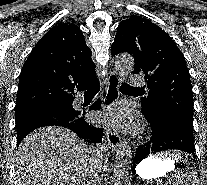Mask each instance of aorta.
Wrapping results in <instances>:
<instances>
[{"mask_svg": "<svg viewBox=\"0 0 207 185\" xmlns=\"http://www.w3.org/2000/svg\"><path fill=\"white\" fill-rule=\"evenodd\" d=\"M134 68V59L130 54H121L115 60V69L124 79ZM132 159L131 145L124 141L118 149L113 168V185L129 184V169Z\"/></svg>", "mask_w": 207, "mask_h": 185, "instance_id": "aorta-1", "label": "aorta"}]
</instances>
